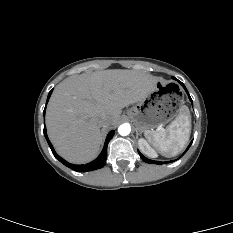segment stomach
Returning a JSON list of instances; mask_svg holds the SVG:
<instances>
[{"instance_id": "0dacf381", "label": "stomach", "mask_w": 233, "mask_h": 233, "mask_svg": "<svg viewBox=\"0 0 233 233\" xmlns=\"http://www.w3.org/2000/svg\"><path fill=\"white\" fill-rule=\"evenodd\" d=\"M184 93L173 82L158 80L155 88L128 111L138 130L152 132L171 122L182 110Z\"/></svg>"}]
</instances>
